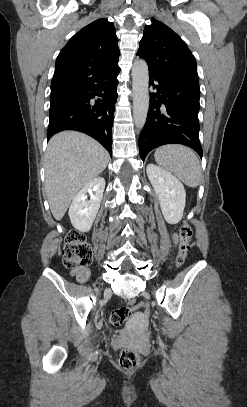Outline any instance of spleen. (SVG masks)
<instances>
[{
  "label": "spleen",
  "instance_id": "1",
  "mask_svg": "<svg viewBox=\"0 0 247 407\" xmlns=\"http://www.w3.org/2000/svg\"><path fill=\"white\" fill-rule=\"evenodd\" d=\"M156 163L172 172L186 186L196 188L201 182L202 172L196 154L188 147L170 144L159 147L154 154Z\"/></svg>",
  "mask_w": 247,
  "mask_h": 407
}]
</instances>
